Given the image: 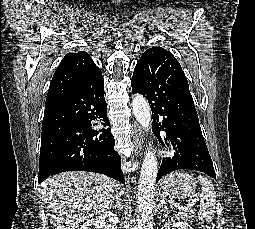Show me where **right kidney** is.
<instances>
[{
    "instance_id": "ca27d5eb",
    "label": "right kidney",
    "mask_w": 255,
    "mask_h": 229,
    "mask_svg": "<svg viewBox=\"0 0 255 229\" xmlns=\"http://www.w3.org/2000/svg\"><path fill=\"white\" fill-rule=\"evenodd\" d=\"M118 216L106 211L95 218L87 220L80 229H117Z\"/></svg>"
}]
</instances>
